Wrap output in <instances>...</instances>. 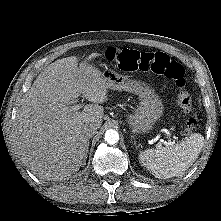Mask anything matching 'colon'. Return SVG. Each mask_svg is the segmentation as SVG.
Wrapping results in <instances>:
<instances>
[{
  "mask_svg": "<svg viewBox=\"0 0 221 221\" xmlns=\"http://www.w3.org/2000/svg\"><path fill=\"white\" fill-rule=\"evenodd\" d=\"M106 58L124 71L152 72L171 78L177 86V102L187 117L185 131L197 129V118L193 109L190 93L186 90L185 70L181 64L173 61L163 52H140L133 49H107Z\"/></svg>",
  "mask_w": 221,
  "mask_h": 221,
  "instance_id": "colon-1",
  "label": "colon"
}]
</instances>
